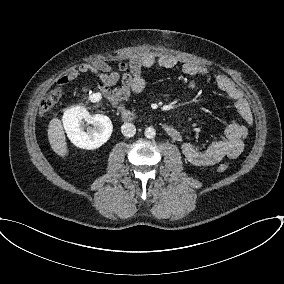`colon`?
Returning <instances> with one entry per match:
<instances>
[{"label": "colon", "mask_w": 284, "mask_h": 284, "mask_svg": "<svg viewBox=\"0 0 284 284\" xmlns=\"http://www.w3.org/2000/svg\"><path fill=\"white\" fill-rule=\"evenodd\" d=\"M120 70L126 71L128 66L125 63H121L119 66ZM62 96V90L61 88H56L49 93L45 95V97L42 99L40 104V114L46 115L48 114L51 109L57 104V102L60 100ZM228 169V165L225 163H222L218 166V170L220 172H225Z\"/></svg>", "instance_id": "obj_1"}]
</instances>
